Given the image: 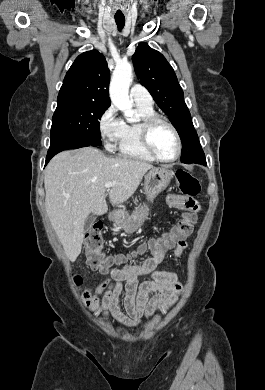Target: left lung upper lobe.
<instances>
[{"instance_id":"obj_1","label":"left lung upper lobe","mask_w":265,"mask_h":390,"mask_svg":"<svg viewBox=\"0 0 265 390\" xmlns=\"http://www.w3.org/2000/svg\"><path fill=\"white\" fill-rule=\"evenodd\" d=\"M140 83L169 117L182 140L181 162L193 163L204 155L176 74L165 57L145 42L132 56Z\"/></svg>"}]
</instances>
